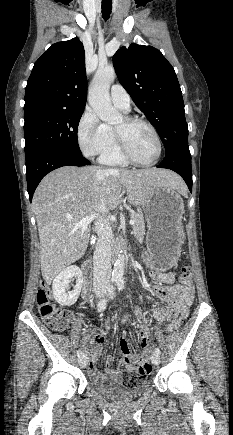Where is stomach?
I'll return each mask as SVG.
<instances>
[{"instance_id":"stomach-1","label":"stomach","mask_w":233,"mask_h":435,"mask_svg":"<svg viewBox=\"0 0 233 435\" xmlns=\"http://www.w3.org/2000/svg\"><path fill=\"white\" fill-rule=\"evenodd\" d=\"M148 223L147 262L165 272L177 262L182 245L184 203L173 188L161 186L142 204Z\"/></svg>"}]
</instances>
